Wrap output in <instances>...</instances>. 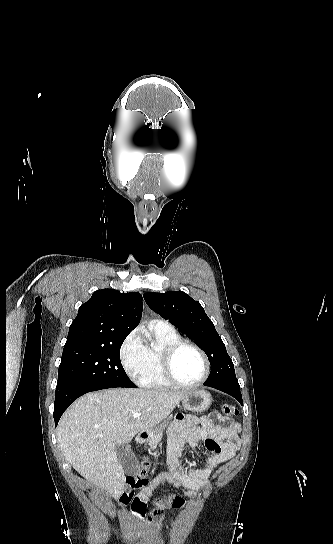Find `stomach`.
I'll return each instance as SVG.
<instances>
[{
  "instance_id": "stomach-1",
  "label": "stomach",
  "mask_w": 333,
  "mask_h": 544,
  "mask_svg": "<svg viewBox=\"0 0 333 544\" xmlns=\"http://www.w3.org/2000/svg\"><path fill=\"white\" fill-rule=\"evenodd\" d=\"M212 403V397L209 392L204 390H194L188 392L182 399V404L185 410L191 412H203L207 410ZM166 423L160 425V428H164ZM158 431V428H152L146 430L147 436L150 437L153 433Z\"/></svg>"
}]
</instances>
